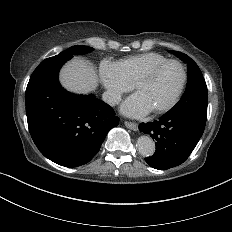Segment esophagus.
Segmentation results:
<instances>
[{
    "label": "esophagus",
    "instance_id": "esophagus-1",
    "mask_svg": "<svg viewBox=\"0 0 232 232\" xmlns=\"http://www.w3.org/2000/svg\"><path fill=\"white\" fill-rule=\"evenodd\" d=\"M125 126L133 131L138 130V125L136 123L130 122V121H125Z\"/></svg>",
    "mask_w": 232,
    "mask_h": 232
}]
</instances>
